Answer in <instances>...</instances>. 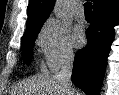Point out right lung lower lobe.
<instances>
[{
    "label": "right lung lower lobe",
    "mask_w": 119,
    "mask_h": 95,
    "mask_svg": "<svg viewBox=\"0 0 119 95\" xmlns=\"http://www.w3.org/2000/svg\"><path fill=\"white\" fill-rule=\"evenodd\" d=\"M119 23V1L94 13L86 31L85 48L77 51L72 81L86 95H99L106 68V59L114 39V27Z\"/></svg>",
    "instance_id": "98d812e1"
}]
</instances>
